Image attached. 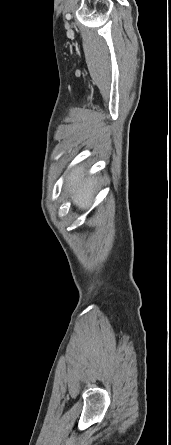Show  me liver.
<instances>
[{
    "instance_id": "obj_1",
    "label": "liver",
    "mask_w": 171,
    "mask_h": 445,
    "mask_svg": "<svg viewBox=\"0 0 171 445\" xmlns=\"http://www.w3.org/2000/svg\"><path fill=\"white\" fill-rule=\"evenodd\" d=\"M95 184L96 181L93 178L84 180V170L81 167L73 169L66 179V185L70 188L73 202L82 209L88 206L93 197Z\"/></svg>"
}]
</instances>
